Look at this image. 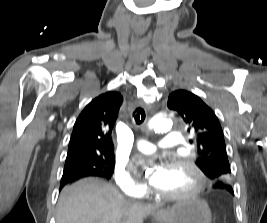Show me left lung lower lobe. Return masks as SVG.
<instances>
[{
  "mask_svg": "<svg viewBox=\"0 0 267 223\" xmlns=\"http://www.w3.org/2000/svg\"><path fill=\"white\" fill-rule=\"evenodd\" d=\"M230 182H215L214 187L217 190V195H232L233 189Z\"/></svg>",
  "mask_w": 267,
  "mask_h": 223,
  "instance_id": "left-lung-lower-lobe-1",
  "label": "left lung lower lobe"
}]
</instances>
